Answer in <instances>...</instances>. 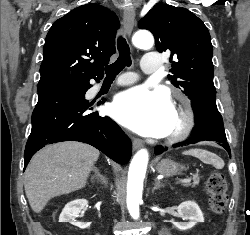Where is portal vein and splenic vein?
<instances>
[{
    "mask_svg": "<svg viewBox=\"0 0 250 235\" xmlns=\"http://www.w3.org/2000/svg\"><path fill=\"white\" fill-rule=\"evenodd\" d=\"M189 182H191V178L190 177L185 178V179H183V180H181V181H179L177 183H189Z\"/></svg>",
    "mask_w": 250,
    "mask_h": 235,
    "instance_id": "obj_1",
    "label": "portal vein and splenic vein"
}]
</instances>
